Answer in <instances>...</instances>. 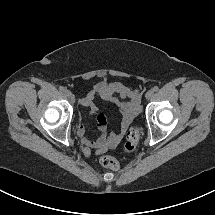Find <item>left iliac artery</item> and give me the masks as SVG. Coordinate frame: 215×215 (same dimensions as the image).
I'll list each match as a JSON object with an SVG mask.
<instances>
[{
    "label": "left iliac artery",
    "instance_id": "left-iliac-artery-1",
    "mask_svg": "<svg viewBox=\"0 0 215 215\" xmlns=\"http://www.w3.org/2000/svg\"><path fill=\"white\" fill-rule=\"evenodd\" d=\"M158 90H159L158 86H154V87H153V91H154V92H157Z\"/></svg>",
    "mask_w": 215,
    "mask_h": 215
}]
</instances>
